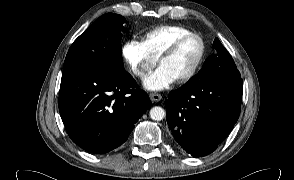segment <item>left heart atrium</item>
<instances>
[{"label":"left heart atrium","mask_w":294,"mask_h":180,"mask_svg":"<svg viewBox=\"0 0 294 180\" xmlns=\"http://www.w3.org/2000/svg\"><path fill=\"white\" fill-rule=\"evenodd\" d=\"M175 81L165 67L159 66L144 79L143 85L148 90L159 91L170 87Z\"/></svg>","instance_id":"39dd6f15"}]
</instances>
